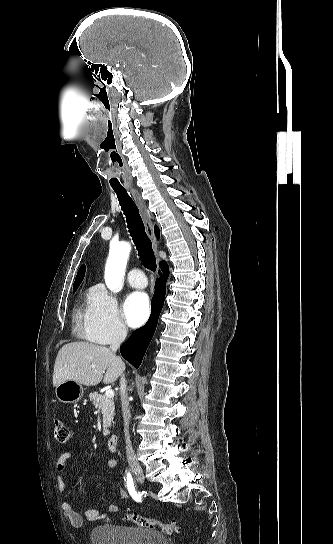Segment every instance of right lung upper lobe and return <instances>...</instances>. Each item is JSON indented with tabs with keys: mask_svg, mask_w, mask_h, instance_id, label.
I'll return each instance as SVG.
<instances>
[{
	"mask_svg": "<svg viewBox=\"0 0 333 544\" xmlns=\"http://www.w3.org/2000/svg\"><path fill=\"white\" fill-rule=\"evenodd\" d=\"M155 235H156V237L160 236L159 228L157 226H155ZM161 264H164V262H162ZM84 274H85V266L82 265L80 267L78 273H77V276H76V279H75V282H74V286H73V290L78 288V286L80 285V283L82 282V280L84 278Z\"/></svg>",
	"mask_w": 333,
	"mask_h": 544,
	"instance_id": "1",
	"label": "right lung upper lobe"
}]
</instances>
